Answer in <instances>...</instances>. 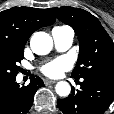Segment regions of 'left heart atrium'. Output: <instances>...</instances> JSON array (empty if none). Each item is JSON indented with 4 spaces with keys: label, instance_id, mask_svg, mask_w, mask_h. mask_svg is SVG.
Wrapping results in <instances>:
<instances>
[{
    "label": "left heart atrium",
    "instance_id": "1",
    "mask_svg": "<svg viewBox=\"0 0 114 114\" xmlns=\"http://www.w3.org/2000/svg\"><path fill=\"white\" fill-rule=\"evenodd\" d=\"M71 61L67 57H61L51 61L41 68L43 74L49 77H59L70 69Z\"/></svg>",
    "mask_w": 114,
    "mask_h": 114
}]
</instances>
